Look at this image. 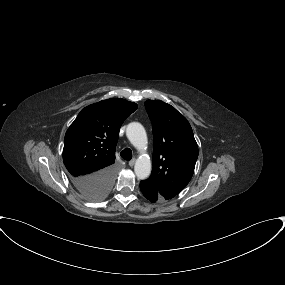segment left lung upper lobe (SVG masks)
<instances>
[{
    "mask_svg": "<svg viewBox=\"0 0 285 285\" xmlns=\"http://www.w3.org/2000/svg\"><path fill=\"white\" fill-rule=\"evenodd\" d=\"M152 123L153 171L146 180L162 197L171 199L189 183L198 158V146L189 122L173 106L145 101Z\"/></svg>",
    "mask_w": 285,
    "mask_h": 285,
    "instance_id": "1",
    "label": "left lung upper lobe"
}]
</instances>
